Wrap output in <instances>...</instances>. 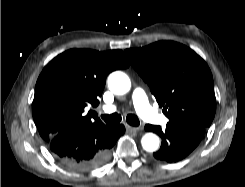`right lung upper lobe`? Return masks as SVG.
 <instances>
[{
    "instance_id": "right-lung-upper-lobe-1",
    "label": "right lung upper lobe",
    "mask_w": 245,
    "mask_h": 187,
    "mask_svg": "<svg viewBox=\"0 0 245 187\" xmlns=\"http://www.w3.org/2000/svg\"><path fill=\"white\" fill-rule=\"evenodd\" d=\"M127 67L121 50L71 49L51 60L37 80L32 108L44 141L90 124H103L97 116L85 115L84 108L99 104L110 72Z\"/></svg>"
}]
</instances>
